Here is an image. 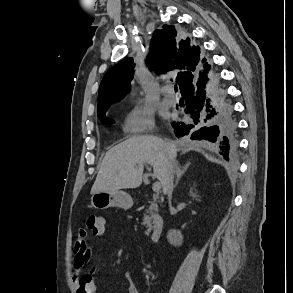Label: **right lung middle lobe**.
I'll return each mask as SVG.
<instances>
[{
  "label": "right lung middle lobe",
  "mask_w": 293,
  "mask_h": 293,
  "mask_svg": "<svg viewBox=\"0 0 293 293\" xmlns=\"http://www.w3.org/2000/svg\"><path fill=\"white\" fill-rule=\"evenodd\" d=\"M98 118H99V119L101 120V122L104 123V124H108V125H110V124H114V123H115L114 120H112V119L106 117L105 115L99 116Z\"/></svg>",
  "instance_id": "dd1d6c3e"
}]
</instances>
